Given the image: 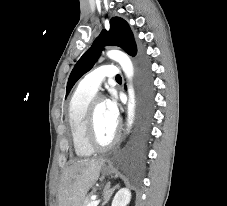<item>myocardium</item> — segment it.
Listing matches in <instances>:
<instances>
[{"mask_svg":"<svg viewBox=\"0 0 227 206\" xmlns=\"http://www.w3.org/2000/svg\"><path fill=\"white\" fill-rule=\"evenodd\" d=\"M100 101H102V98L100 97L93 98L88 106L86 120H85V138L88 145L92 149L103 151L111 148L113 145L117 143L120 132H119V128L116 127V130L114 132L112 139L106 144L101 143L98 140L97 134H96V106Z\"/></svg>","mask_w":227,"mask_h":206,"instance_id":"1","label":"myocardium"}]
</instances>
